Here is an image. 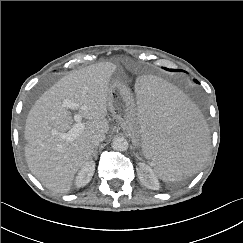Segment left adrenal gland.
I'll use <instances>...</instances> for the list:
<instances>
[{
	"mask_svg": "<svg viewBox=\"0 0 243 243\" xmlns=\"http://www.w3.org/2000/svg\"><path fill=\"white\" fill-rule=\"evenodd\" d=\"M134 155H135V157H136L137 159H141V158L139 157V155H138L136 152H134Z\"/></svg>",
	"mask_w": 243,
	"mask_h": 243,
	"instance_id": "obj_1",
	"label": "left adrenal gland"
}]
</instances>
